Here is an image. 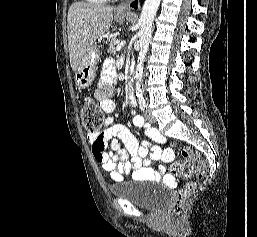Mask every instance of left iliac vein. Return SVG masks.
I'll use <instances>...</instances> for the list:
<instances>
[{
  "mask_svg": "<svg viewBox=\"0 0 257 237\" xmlns=\"http://www.w3.org/2000/svg\"><path fill=\"white\" fill-rule=\"evenodd\" d=\"M146 118H147V120H148L149 122H152V123L155 122V118H154V116L151 114V111H150V110H148V111L146 112Z\"/></svg>",
  "mask_w": 257,
  "mask_h": 237,
  "instance_id": "1",
  "label": "left iliac vein"
}]
</instances>
